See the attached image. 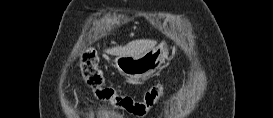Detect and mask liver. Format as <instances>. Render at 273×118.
<instances>
[{"label":"liver","mask_w":273,"mask_h":118,"mask_svg":"<svg viewBox=\"0 0 273 118\" xmlns=\"http://www.w3.org/2000/svg\"><path fill=\"white\" fill-rule=\"evenodd\" d=\"M156 43L155 40L151 39H138L129 42L125 46L109 48L105 52L115 56H138L154 48Z\"/></svg>","instance_id":"obj_1"}]
</instances>
